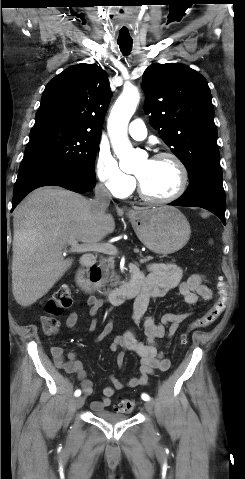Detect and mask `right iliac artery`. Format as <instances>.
I'll return each instance as SVG.
<instances>
[{"label":"right iliac artery","instance_id":"obj_1","mask_svg":"<svg viewBox=\"0 0 245 479\" xmlns=\"http://www.w3.org/2000/svg\"><path fill=\"white\" fill-rule=\"evenodd\" d=\"M74 395H75L76 397L80 396V395H81V391H80L79 389L76 390L75 393H74Z\"/></svg>","mask_w":245,"mask_h":479}]
</instances>
